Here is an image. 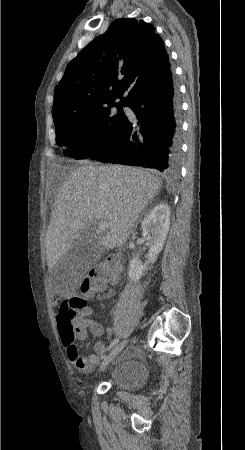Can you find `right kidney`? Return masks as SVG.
Here are the masks:
<instances>
[{
  "label": "right kidney",
  "instance_id": "right-kidney-1",
  "mask_svg": "<svg viewBox=\"0 0 245 450\" xmlns=\"http://www.w3.org/2000/svg\"><path fill=\"white\" fill-rule=\"evenodd\" d=\"M142 234L148 240L149 252L147 261L135 257L130 261L128 275L133 281H138L148 269L150 263H154L165 243L170 227V208L164 203L156 205L142 221Z\"/></svg>",
  "mask_w": 245,
  "mask_h": 450
}]
</instances>
